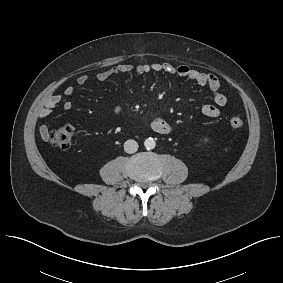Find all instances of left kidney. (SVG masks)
Instances as JSON below:
<instances>
[{"label": "left kidney", "instance_id": "obj_1", "mask_svg": "<svg viewBox=\"0 0 283 283\" xmlns=\"http://www.w3.org/2000/svg\"><path fill=\"white\" fill-rule=\"evenodd\" d=\"M204 142H209V139H208V138H205V139H204Z\"/></svg>", "mask_w": 283, "mask_h": 283}]
</instances>
